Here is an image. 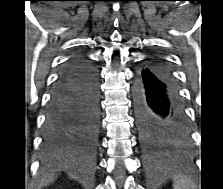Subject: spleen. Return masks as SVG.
I'll use <instances>...</instances> for the list:
<instances>
[{
    "mask_svg": "<svg viewBox=\"0 0 223 189\" xmlns=\"http://www.w3.org/2000/svg\"><path fill=\"white\" fill-rule=\"evenodd\" d=\"M174 189H190V182L187 178H180L174 184Z\"/></svg>",
    "mask_w": 223,
    "mask_h": 189,
    "instance_id": "spleen-1",
    "label": "spleen"
}]
</instances>
